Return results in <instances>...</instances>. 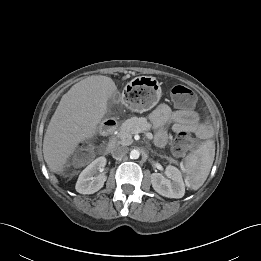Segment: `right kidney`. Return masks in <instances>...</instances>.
I'll use <instances>...</instances> for the list:
<instances>
[{"mask_svg": "<svg viewBox=\"0 0 261 261\" xmlns=\"http://www.w3.org/2000/svg\"><path fill=\"white\" fill-rule=\"evenodd\" d=\"M106 165L105 157H98L90 163L79 175L75 189L81 194H93L100 190L107 177L103 172Z\"/></svg>", "mask_w": 261, "mask_h": 261, "instance_id": "right-kidney-1", "label": "right kidney"}]
</instances>
